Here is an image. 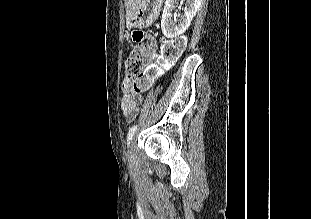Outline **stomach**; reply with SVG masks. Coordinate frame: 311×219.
I'll list each match as a JSON object with an SVG mask.
<instances>
[{"label": "stomach", "mask_w": 311, "mask_h": 219, "mask_svg": "<svg viewBox=\"0 0 311 219\" xmlns=\"http://www.w3.org/2000/svg\"><path fill=\"white\" fill-rule=\"evenodd\" d=\"M162 0H139L129 22L134 27L146 28L157 18Z\"/></svg>", "instance_id": "stomach-1"}]
</instances>
